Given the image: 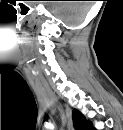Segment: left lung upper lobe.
<instances>
[{
  "label": "left lung upper lobe",
  "instance_id": "left-lung-upper-lobe-1",
  "mask_svg": "<svg viewBox=\"0 0 123 130\" xmlns=\"http://www.w3.org/2000/svg\"><path fill=\"white\" fill-rule=\"evenodd\" d=\"M72 119L77 130H94L92 124L88 123L78 110H73Z\"/></svg>",
  "mask_w": 123,
  "mask_h": 130
}]
</instances>
